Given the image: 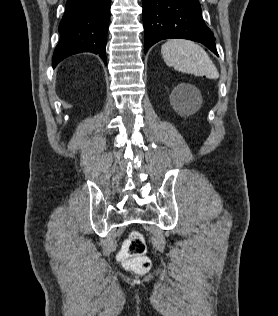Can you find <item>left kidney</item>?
<instances>
[{
  "mask_svg": "<svg viewBox=\"0 0 278 316\" xmlns=\"http://www.w3.org/2000/svg\"><path fill=\"white\" fill-rule=\"evenodd\" d=\"M199 95L196 87L190 84L178 85L172 93V101L175 106H186L193 103Z\"/></svg>",
  "mask_w": 278,
  "mask_h": 316,
  "instance_id": "obj_1",
  "label": "left kidney"
}]
</instances>
